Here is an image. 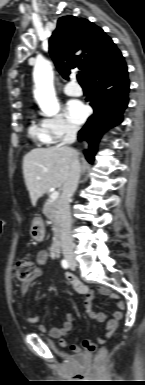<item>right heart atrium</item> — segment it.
<instances>
[{"label": "right heart atrium", "mask_w": 145, "mask_h": 385, "mask_svg": "<svg viewBox=\"0 0 145 385\" xmlns=\"http://www.w3.org/2000/svg\"><path fill=\"white\" fill-rule=\"evenodd\" d=\"M41 124L47 136V144L58 143L67 135L77 131V126L70 122L63 114H56L45 118Z\"/></svg>", "instance_id": "d8ad5b80"}]
</instances>
